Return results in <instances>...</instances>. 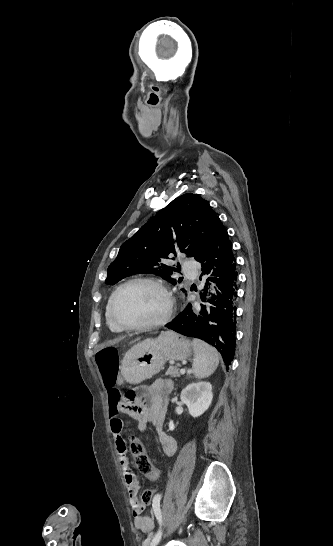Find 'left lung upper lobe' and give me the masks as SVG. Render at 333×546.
<instances>
[{"instance_id":"1","label":"left lung upper lobe","mask_w":333,"mask_h":546,"mask_svg":"<svg viewBox=\"0 0 333 546\" xmlns=\"http://www.w3.org/2000/svg\"><path fill=\"white\" fill-rule=\"evenodd\" d=\"M218 219L200 196L187 193L177 197L122 244L108 267L106 284L114 285L138 273H154L175 285L171 275L178 269L167 260L180 253L196 259L209 243Z\"/></svg>"}]
</instances>
